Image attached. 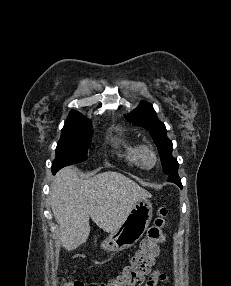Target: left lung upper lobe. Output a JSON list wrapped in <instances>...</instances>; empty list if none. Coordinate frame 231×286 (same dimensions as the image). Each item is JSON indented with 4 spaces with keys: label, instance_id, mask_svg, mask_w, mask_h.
Here are the masks:
<instances>
[{
    "label": "left lung upper lobe",
    "instance_id": "1",
    "mask_svg": "<svg viewBox=\"0 0 231 286\" xmlns=\"http://www.w3.org/2000/svg\"><path fill=\"white\" fill-rule=\"evenodd\" d=\"M135 125L146 128L157 145L162 161L163 171L169 177L178 171V162L172 157V142L167 138L165 125L161 123L151 104L141 102L127 117Z\"/></svg>",
    "mask_w": 231,
    "mask_h": 286
}]
</instances>
